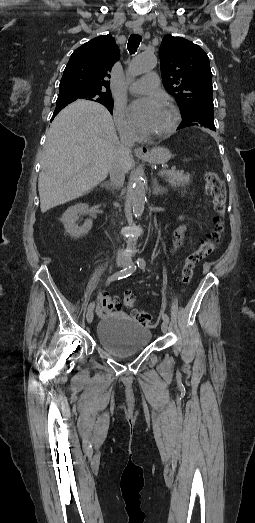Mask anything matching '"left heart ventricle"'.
<instances>
[{
	"label": "left heart ventricle",
	"mask_w": 255,
	"mask_h": 523,
	"mask_svg": "<svg viewBox=\"0 0 255 523\" xmlns=\"http://www.w3.org/2000/svg\"><path fill=\"white\" fill-rule=\"evenodd\" d=\"M174 122L173 110L164 104H161L154 112L148 127L144 130L148 138H156L166 133Z\"/></svg>",
	"instance_id": "b2bd125f"
}]
</instances>
